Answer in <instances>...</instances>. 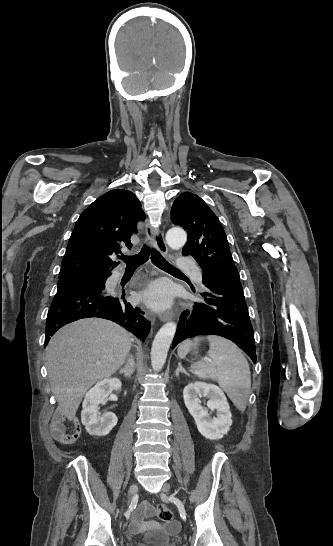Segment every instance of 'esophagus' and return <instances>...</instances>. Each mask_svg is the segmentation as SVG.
I'll return each mask as SVG.
<instances>
[{
	"instance_id": "1",
	"label": "esophagus",
	"mask_w": 333,
	"mask_h": 546,
	"mask_svg": "<svg viewBox=\"0 0 333 546\" xmlns=\"http://www.w3.org/2000/svg\"><path fill=\"white\" fill-rule=\"evenodd\" d=\"M146 235L147 237L152 240L154 246L157 250L160 251L161 254L167 255L168 248L164 239V234L160 229H154L150 224L146 225ZM174 316L173 311H167L163 312L159 315V319L162 322H166L169 319H172ZM150 318H153L151 314H149Z\"/></svg>"
}]
</instances>
